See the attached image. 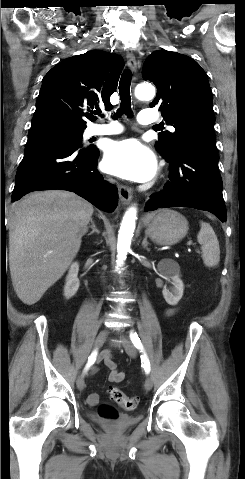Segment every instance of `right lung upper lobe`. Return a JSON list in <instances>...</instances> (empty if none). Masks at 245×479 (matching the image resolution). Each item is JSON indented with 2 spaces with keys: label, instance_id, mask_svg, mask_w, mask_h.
<instances>
[{
  "label": "right lung upper lobe",
  "instance_id": "cb5924a9",
  "mask_svg": "<svg viewBox=\"0 0 245 479\" xmlns=\"http://www.w3.org/2000/svg\"><path fill=\"white\" fill-rule=\"evenodd\" d=\"M122 57L92 50L59 62L45 75L30 130L48 127L85 129L99 103L111 108L123 69Z\"/></svg>",
  "mask_w": 245,
  "mask_h": 479
}]
</instances>
